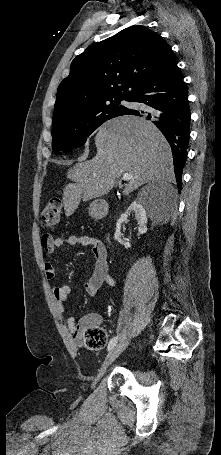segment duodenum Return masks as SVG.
Wrapping results in <instances>:
<instances>
[{
    "label": "duodenum",
    "instance_id": "1",
    "mask_svg": "<svg viewBox=\"0 0 221 455\" xmlns=\"http://www.w3.org/2000/svg\"><path fill=\"white\" fill-rule=\"evenodd\" d=\"M97 212L99 215H103L105 213V208L104 207H98Z\"/></svg>",
    "mask_w": 221,
    "mask_h": 455
}]
</instances>
